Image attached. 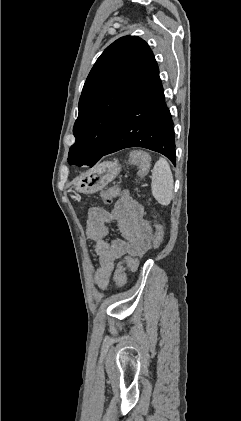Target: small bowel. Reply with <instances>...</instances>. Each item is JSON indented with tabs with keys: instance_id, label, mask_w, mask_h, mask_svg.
<instances>
[{
	"instance_id": "c3829d8e",
	"label": "small bowel",
	"mask_w": 241,
	"mask_h": 421,
	"mask_svg": "<svg viewBox=\"0 0 241 421\" xmlns=\"http://www.w3.org/2000/svg\"><path fill=\"white\" fill-rule=\"evenodd\" d=\"M115 225L122 238L106 241L109 225ZM86 233L94 244L99 258L95 281L99 288L107 289L115 263L126 256L141 258L150 248L152 230L144 219V209L128 191L122 193L113 209L93 207L88 212Z\"/></svg>"
}]
</instances>
